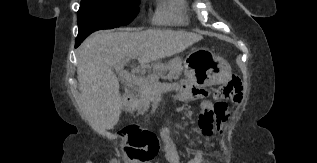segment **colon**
<instances>
[{
	"mask_svg": "<svg viewBox=\"0 0 317 163\" xmlns=\"http://www.w3.org/2000/svg\"><path fill=\"white\" fill-rule=\"evenodd\" d=\"M243 87L236 76H232L226 84L218 89L215 103H203L199 115V126L203 131L214 130L218 127L219 119L227 110L226 100L239 103L242 100ZM130 145V156L141 163H148L154 159L159 151V139L157 135L147 129L138 126H129L124 129Z\"/></svg>",
	"mask_w": 317,
	"mask_h": 163,
	"instance_id": "1",
	"label": "colon"
}]
</instances>
